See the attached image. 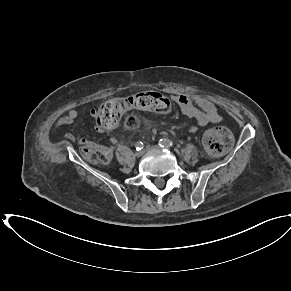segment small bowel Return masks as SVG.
<instances>
[{"instance_id": "small-bowel-1", "label": "small bowel", "mask_w": 291, "mask_h": 291, "mask_svg": "<svg viewBox=\"0 0 291 291\" xmlns=\"http://www.w3.org/2000/svg\"><path fill=\"white\" fill-rule=\"evenodd\" d=\"M174 101L184 116L195 121V124L190 128L191 132H195L199 127L206 126L210 123H219L223 119L216 105L203 96L177 94L174 96ZM91 114L96 116L97 111L92 110ZM79 116L80 113L77 109H70L66 115L57 120L53 127V132H56L64 126L71 125L79 118ZM66 137L68 141H77L81 145L88 142L87 138L84 136H75L71 133H68ZM111 142L116 144L117 139L111 138Z\"/></svg>"}]
</instances>
